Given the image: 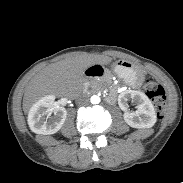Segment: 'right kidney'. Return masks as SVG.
<instances>
[{"mask_svg": "<svg viewBox=\"0 0 183 183\" xmlns=\"http://www.w3.org/2000/svg\"><path fill=\"white\" fill-rule=\"evenodd\" d=\"M66 117V109L54 103L53 95H46L30 108L28 124L36 134L51 135L60 130Z\"/></svg>", "mask_w": 183, "mask_h": 183, "instance_id": "ca27d5eb", "label": "right kidney"}]
</instances>
